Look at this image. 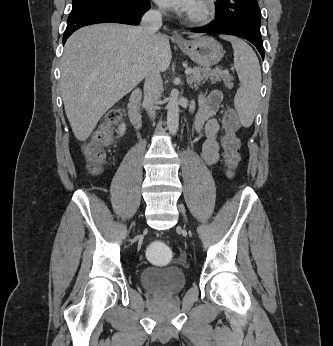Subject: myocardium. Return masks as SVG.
I'll use <instances>...</instances> for the list:
<instances>
[{
    "label": "myocardium",
    "instance_id": "1",
    "mask_svg": "<svg viewBox=\"0 0 333 346\" xmlns=\"http://www.w3.org/2000/svg\"><path fill=\"white\" fill-rule=\"evenodd\" d=\"M215 13V0H194L187 18L191 22L207 24L213 20Z\"/></svg>",
    "mask_w": 333,
    "mask_h": 346
}]
</instances>
